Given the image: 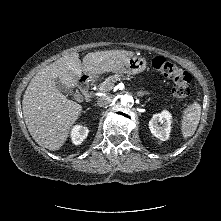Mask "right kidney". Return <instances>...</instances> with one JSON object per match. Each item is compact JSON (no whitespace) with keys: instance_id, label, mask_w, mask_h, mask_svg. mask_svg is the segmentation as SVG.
<instances>
[{"instance_id":"obj_1","label":"right kidney","mask_w":221,"mask_h":221,"mask_svg":"<svg viewBox=\"0 0 221 221\" xmlns=\"http://www.w3.org/2000/svg\"><path fill=\"white\" fill-rule=\"evenodd\" d=\"M89 130L85 126L76 125L71 131L72 142L79 145L88 136Z\"/></svg>"}]
</instances>
